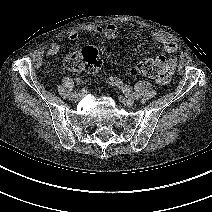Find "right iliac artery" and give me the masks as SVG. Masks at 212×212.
<instances>
[{"label": "right iliac artery", "instance_id": "right-iliac-artery-1", "mask_svg": "<svg viewBox=\"0 0 212 212\" xmlns=\"http://www.w3.org/2000/svg\"><path fill=\"white\" fill-rule=\"evenodd\" d=\"M76 91H78V89L75 90V92H72V93L69 94V100H73L74 99V97L76 95Z\"/></svg>", "mask_w": 212, "mask_h": 212}]
</instances>
